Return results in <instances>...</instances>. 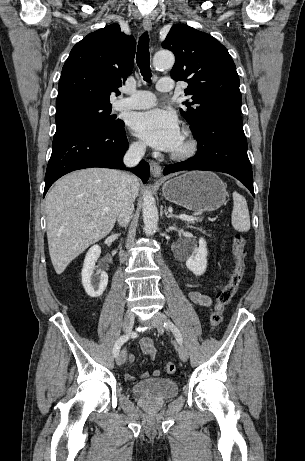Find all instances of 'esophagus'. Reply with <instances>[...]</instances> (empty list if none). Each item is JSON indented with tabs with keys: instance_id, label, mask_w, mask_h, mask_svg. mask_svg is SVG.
<instances>
[{
	"instance_id": "obj_1",
	"label": "esophagus",
	"mask_w": 305,
	"mask_h": 461,
	"mask_svg": "<svg viewBox=\"0 0 305 461\" xmlns=\"http://www.w3.org/2000/svg\"><path fill=\"white\" fill-rule=\"evenodd\" d=\"M143 27L145 30L147 31H151L152 30V23H151V20L150 18L148 17H145L143 19ZM150 170H151V174L154 178L156 179H159L160 176H161V172H162V169H161V166L159 165V163L155 162V161H151L150 162Z\"/></svg>"
}]
</instances>
